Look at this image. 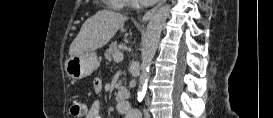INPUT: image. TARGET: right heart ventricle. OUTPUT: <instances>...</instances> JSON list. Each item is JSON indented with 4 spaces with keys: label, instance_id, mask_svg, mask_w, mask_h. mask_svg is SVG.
I'll list each match as a JSON object with an SVG mask.
<instances>
[{
    "label": "right heart ventricle",
    "instance_id": "right-heart-ventricle-1",
    "mask_svg": "<svg viewBox=\"0 0 273 118\" xmlns=\"http://www.w3.org/2000/svg\"><path fill=\"white\" fill-rule=\"evenodd\" d=\"M112 5H113L114 8H118L120 6V3L113 1Z\"/></svg>",
    "mask_w": 273,
    "mask_h": 118
}]
</instances>
